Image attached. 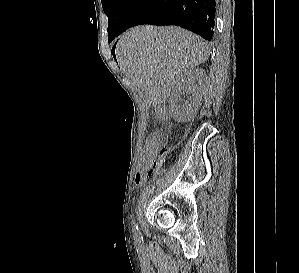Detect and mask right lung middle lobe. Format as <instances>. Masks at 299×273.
Returning <instances> with one entry per match:
<instances>
[{
  "mask_svg": "<svg viewBox=\"0 0 299 273\" xmlns=\"http://www.w3.org/2000/svg\"><path fill=\"white\" fill-rule=\"evenodd\" d=\"M105 14L108 16V42H111L125 18L134 0H101Z\"/></svg>",
  "mask_w": 299,
  "mask_h": 273,
  "instance_id": "1",
  "label": "right lung middle lobe"
}]
</instances>
